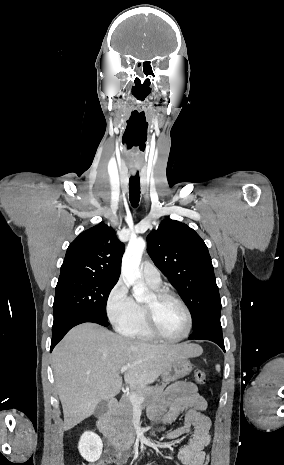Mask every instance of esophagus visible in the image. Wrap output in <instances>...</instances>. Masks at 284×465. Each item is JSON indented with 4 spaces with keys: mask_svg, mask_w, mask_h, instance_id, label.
Here are the masks:
<instances>
[{
    "mask_svg": "<svg viewBox=\"0 0 284 465\" xmlns=\"http://www.w3.org/2000/svg\"><path fill=\"white\" fill-rule=\"evenodd\" d=\"M131 173H132V175H135L136 171H135V170H132Z\"/></svg>",
    "mask_w": 284,
    "mask_h": 465,
    "instance_id": "esophagus-1",
    "label": "esophagus"
}]
</instances>
